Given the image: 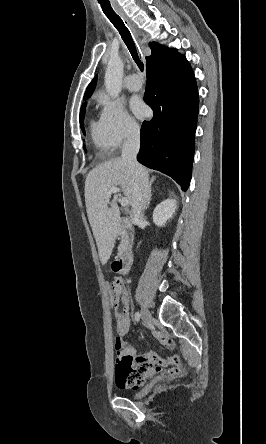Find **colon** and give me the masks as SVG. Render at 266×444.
Wrapping results in <instances>:
<instances>
[{
    "label": "colon",
    "mask_w": 266,
    "mask_h": 444,
    "mask_svg": "<svg viewBox=\"0 0 266 444\" xmlns=\"http://www.w3.org/2000/svg\"><path fill=\"white\" fill-rule=\"evenodd\" d=\"M123 288V282L119 279H115L110 282V304L115 311L118 309L120 295Z\"/></svg>",
    "instance_id": "colon-1"
}]
</instances>
